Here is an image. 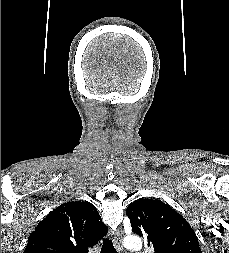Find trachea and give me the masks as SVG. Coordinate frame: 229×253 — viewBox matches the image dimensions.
Returning a JSON list of instances; mask_svg holds the SVG:
<instances>
[{"label":"trachea","mask_w":229,"mask_h":253,"mask_svg":"<svg viewBox=\"0 0 229 253\" xmlns=\"http://www.w3.org/2000/svg\"><path fill=\"white\" fill-rule=\"evenodd\" d=\"M101 253H117L113 246V242L109 238H105L101 248Z\"/></svg>","instance_id":"1"}]
</instances>
